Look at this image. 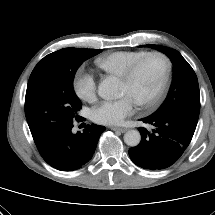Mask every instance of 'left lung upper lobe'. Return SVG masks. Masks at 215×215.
Masks as SVG:
<instances>
[{
	"label": "left lung upper lobe",
	"mask_w": 215,
	"mask_h": 215,
	"mask_svg": "<svg viewBox=\"0 0 215 215\" xmlns=\"http://www.w3.org/2000/svg\"><path fill=\"white\" fill-rule=\"evenodd\" d=\"M165 53L172 61L174 67L173 81L167 98L154 112V115L177 114L197 123L200 111V92L197 76L175 49L159 45H145Z\"/></svg>",
	"instance_id": "1"
}]
</instances>
